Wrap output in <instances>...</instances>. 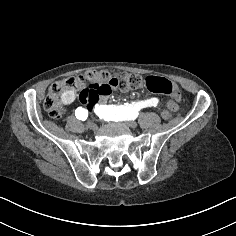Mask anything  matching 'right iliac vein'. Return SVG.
<instances>
[{
    "label": "right iliac vein",
    "mask_w": 236,
    "mask_h": 236,
    "mask_svg": "<svg viewBox=\"0 0 236 236\" xmlns=\"http://www.w3.org/2000/svg\"><path fill=\"white\" fill-rule=\"evenodd\" d=\"M87 123L89 125L90 130H92V131L97 130L98 125L92 119H89Z\"/></svg>",
    "instance_id": "63e3f726"
}]
</instances>
